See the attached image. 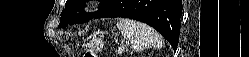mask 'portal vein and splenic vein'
Returning a JSON list of instances; mask_svg holds the SVG:
<instances>
[{
  "label": "portal vein and splenic vein",
  "instance_id": "obj_1",
  "mask_svg": "<svg viewBox=\"0 0 249 57\" xmlns=\"http://www.w3.org/2000/svg\"><path fill=\"white\" fill-rule=\"evenodd\" d=\"M119 52H123V49H122V48H120V49H119Z\"/></svg>",
  "mask_w": 249,
  "mask_h": 57
}]
</instances>
